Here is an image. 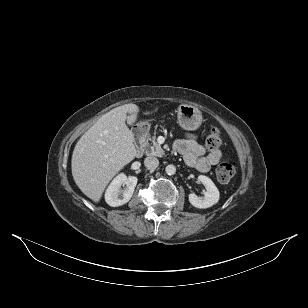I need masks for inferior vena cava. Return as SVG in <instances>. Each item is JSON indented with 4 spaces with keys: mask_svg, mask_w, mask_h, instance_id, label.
Wrapping results in <instances>:
<instances>
[{
    "mask_svg": "<svg viewBox=\"0 0 308 308\" xmlns=\"http://www.w3.org/2000/svg\"><path fill=\"white\" fill-rule=\"evenodd\" d=\"M144 165L148 169H155L159 165V160L156 157H146L144 160Z\"/></svg>",
    "mask_w": 308,
    "mask_h": 308,
    "instance_id": "inferior-vena-cava-1",
    "label": "inferior vena cava"
}]
</instances>
